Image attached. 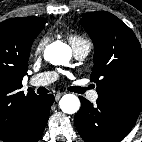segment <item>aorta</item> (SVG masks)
I'll use <instances>...</instances> for the list:
<instances>
[{"mask_svg":"<svg viewBox=\"0 0 142 142\" xmlns=\"http://www.w3.org/2000/svg\"><path fill=\"white\" fill-rule=\"evenodd\" d=\"M44 55L53 65H65L71 58V49L65 43L56 42L46 48ZM59 106L64 113L74 114L80 108V100L74 94H66L61 98Z\"/></svg>","mask_w":142,"mask_h":142,"instance_id":"762f6f07","label":"aorta"}]
</instances>
